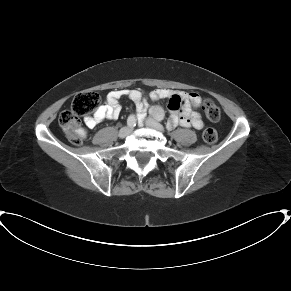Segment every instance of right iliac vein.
<instances>
[{"label":"right iliac vein","instance_id":"right-iliac-vein-1","mask_svg":"<svg viewBox=\"0 0 291 291\" xmlns=\"http://www.w3.org/2000/svg\"><path fill=\"white\" fill-rule=\"evenodd\" d=\"M132 132V129L129 127H123L120 131H119V137L120 138H125L127 137L130 133Z\"/></svg>","mask_w":291,"mask_h":291}]
</instances>
